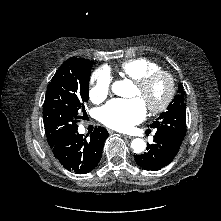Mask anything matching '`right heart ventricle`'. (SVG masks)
Masks as SVG:
<instances>
[{
  "label": "right heart ventricle",
  "instance_id": "e07e8e85",
  "mask_svg": "<svg viewBox=\"0 0 221 221\" xmlns=\"http://www.w3.org/2000/svg\"><path fill=\"white\" fill-rule=\"evenodd\" d=\"M158 69L159 65L147 58L130 59L123 62L120 66V72L134 81Z\"/></svg>",
  "mask_w": 221,
  "mask_h": 221
}]
</instances>
